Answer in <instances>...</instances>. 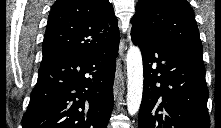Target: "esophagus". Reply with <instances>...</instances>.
<instances>
[{
    "label": "esophagus",
    "mask_w": 221,
    "mask_h": 128,
    "mask_svg": "<svg viewBox=\"0 0 221 128\" xmlns=\"http://www.w3.org/2000/svg\"><path fill=\"white\" fill-rule=\"evenodd\" d=\"M120 83H121V69L118 64L117 69H116V74H115L114 87H113L115 99H117V96H118Z\"/></svg>",
    "instance_id": "34e87169"
}]
</instances>
